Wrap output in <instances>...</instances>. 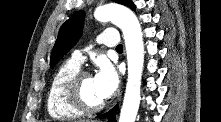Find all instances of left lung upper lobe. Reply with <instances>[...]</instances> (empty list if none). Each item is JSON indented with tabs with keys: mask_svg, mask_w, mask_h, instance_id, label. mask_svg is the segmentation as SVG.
Listing matches in <instances>:
<instances>
[{
	"mask_svg": "<svg viewBox=\"0 0 221 122\" xmlns=\"http://www.w3.org/2000/svg\"><path fill=\"white\" fill-rule=\"evenodd\" d=\"M114 1L131 9H133L135 6L132 0ZM84 18V11H77L61 26L51 54V67H54L64 56V54H66L81 37Z\"/></svg>",
	"mask_w": 221,
	"mask_h": 122,
	"instance_id": "left-lung-upper-lobe-1",
	"label": "left lung upper lobe"
}]
</instances>
